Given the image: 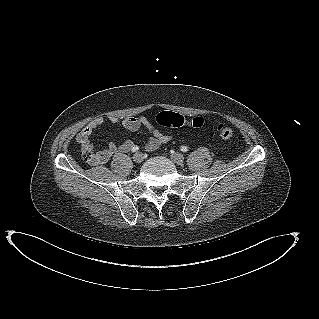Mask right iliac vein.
Here are the masks:
<instances>
[{"label": "right iliac vein", "mask_w": 319, "mask_h": 319, "mask_svg": "<svg viewBox=\"0 0 319 319\" xmlns=\"http://www.w3.org/2000/svg\"><path fill=\"white\" fill-rule=\"evenodd\" d=\"M133 161L136 163H141L143 161V154L140 152H137L133 155Z\"/></svg>", "instance_id": "1"}]
</instances>
